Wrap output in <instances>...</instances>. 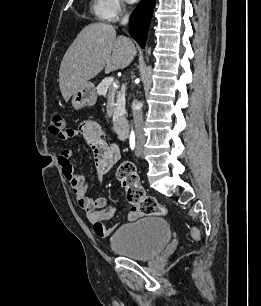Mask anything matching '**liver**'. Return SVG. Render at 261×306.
<instances>
[{"label": "liver", "instance_id": "6515ba94", "mask_svg": "<svg viewBox=\"0 0 261 306\" xmlns=\"http://www.w3.org/2000/svg\"><path fill=\"white\" fill-rule=\"evenodd\" d=\"M135 55L136 48L131 39L116 37L112 25H87L68 48L60 65L59 87L64 100L68 102L81 85L104 68L106 74L126 68Z\"/></svg>", "mask_w": 261, "mask_h": 306}]
</instances>
